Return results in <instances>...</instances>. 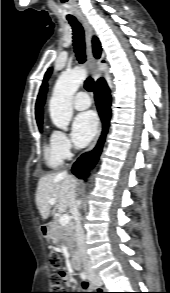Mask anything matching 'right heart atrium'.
Segmentation results:
<instances>
[{
  "instance_id": "right-heart-atrium-1",
  "label": "right heart atrium",
  "mask_w": 170,
  "mask_h": 293,
  "mask_svg": "<svg viewBox=\"0 0 170 293\" xmlns=\"http://www.w3.org/2000/svg\"><path fill=\"white\" fill-rule=\"evenodd\" d=\"M51 142L55 152L62 159L69 158L72 155V143L64 132L55 130L51 135Z\"/></svg>"
}]
</instances>
